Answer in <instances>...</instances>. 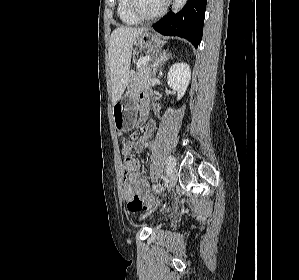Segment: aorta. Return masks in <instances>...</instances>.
I'll use <instances>...</instances> for the list:
<instances>
[{
    "label": "aorta",
    "instance_id": "obj_1",
    "mask_svg": "<svg viewBox=\"0 0 299 280\" xmlns=\"http://www.w3.org/2000/svg\"><path fill=\"white\" fill-rule=\"evenodd\" d=\"M188 0H174L173 2V11L176 13L180 11L187 3Z\"/></svg>",
    "mask_w": 299,
    "mask_h": 280
}]
</instances>
